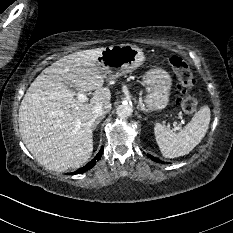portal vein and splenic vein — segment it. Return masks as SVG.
<instances>
[{"mask_svg":"<svg viewBox=\"0 0 233 233\" xmlns=\"http://www.w3.org/2000/svg\"><path fill=\"white\" fill-rule=\"evenodd\" d=\"M77 98L80 102H86L88 100L87 96L84 93H78ZM175 130H179V127H175Z\"/></svg>","mask_w":233,"mask_h":233,"instance_id":"portal-vein-and-splenic-vein-1","label":"portal vein and splenic vein"}]
</instances>
